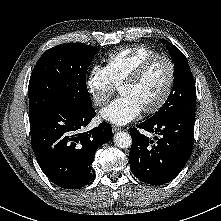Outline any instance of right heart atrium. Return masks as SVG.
<instances>
[{
    "mask_svg": "<svg viewBox=\"0 0 221 221\" xmlns=\"http://www.w3.org/2000/svg\"><path fill=\"white\" fill-rule=\"evenodd\" d=\"M86 88L97 107L104 106L114 93L116 85L106 66L94 65L87 76Z\"/></svg>",
    "mask_w": 221,
    "mask_h": 221,
    "instance_id": "1",
    "label": "right heart atrium"
}]
</instances>
